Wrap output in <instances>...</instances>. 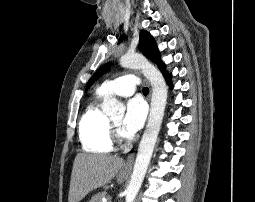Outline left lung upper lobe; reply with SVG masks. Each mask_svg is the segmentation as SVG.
Instances as JSON below:
<instances>
[{"label": "left lung upper lobe", "mask_w": 255, "mask_h": 202, "mask_svg": "<svg viewBox=\"0 0 255 202\" xmlns=\"http://www.w3.org/2000/svg\"><path fill=\"white\" fill-rule=\"evenodd\" d=\"M140 51L150 60L155 62L163 75L165 77L169 76L168 72L165 70V65L161 60V55L159 50L156 46L155 40L153 37L145 30L140 32V44H139ZM110 64L107 63L103 65L88 81L86 88H89L93 82L99 78L103 73L107 72L110 69Z\"/></svg>", "instance_id": "left-lung-upper-lobe-1"}]
</instances>
